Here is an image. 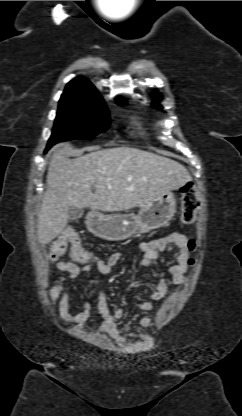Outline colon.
I'll use <instances>...</instances> for the list:
<instances>
[{
    "label": "colon",
    "mask_w": 242,
    "mask_h": 416,
    "mask_svg": "<svg viewBox=\"0 0 242 416\" xmlns=\"http://www.w3.org/2000/svg\"><path fill=\"white\" fill-rule=\"evenodd\" d=\"M199 205L195 185L190 182L186 183L182 187L180 223L183 225L192 224L196 218ZM196 246L194 239L188 241L190 251H195ZM67 253L75 263H86L92 258L91 252L84 247L79 236L75 232L65 229L51 244L48 258L51 262H56ZM190 264H194V259H191Z\"/></svg>",
    "instance_id": "colon-1"
}]
</instances>
